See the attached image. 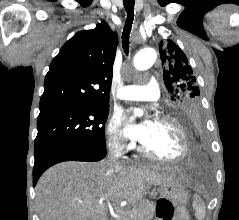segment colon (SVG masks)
<instances>
[{"mask_svg":"<svg viewBox=\"0 0 239 220\" xmlns=\"http://www.w3.org/2000/svg\"><path fill=\"white\" fill-rule=\"evenodd\" d=\"M187 92L189 95H196L195 89H188ZM157 208L161 220H172L174 218L175 208L169 200H160Z\"/></svg>","mask_w":239,"mask_h":220,"instance_id":"obj_1","label":"colon"}]
</instances>
